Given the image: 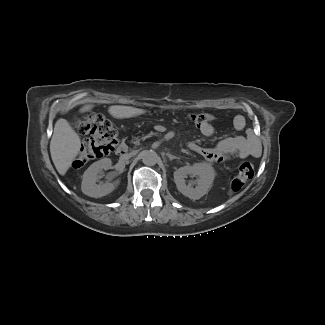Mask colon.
Listing matches in <instances>:
<instances>
[{"label":"colon","instance_id":"1","mask_svg":"<svg viewBox=\"0 0 325 325\" xmlns=\"http://www.w3.org/2000/svg\"><path fill=\"white\" fill-rule=\"evenodd\" d=\"M190 120L198 128L204 123L215 120L212 114L201 113L190 115ZM76 129L87 136L74 161L76 167L112 153L118 146V134L111 121L100 114H90L75 122ZM254 165L250 161L243 162L231 181L232 191L241 190L253 177Z\"/></svg>","mask_w":325,"mask_h":325}]
</instances>
